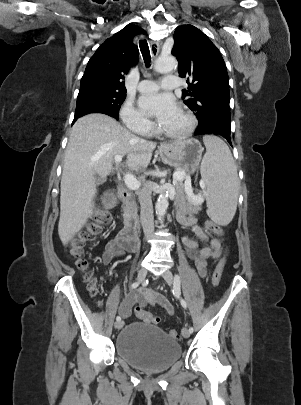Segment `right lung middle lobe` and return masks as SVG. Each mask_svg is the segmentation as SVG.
Masks as SVG:
<instances>
[{"label":"right lung middle lobe","instance_id":"right-lung-middle-lobe-1","mask_svg":"<svg viewBox=\"0 0 301 405\" xmlns=\"http://www.w3.org/2000/svg\"><path fill=\"white\" fill-rule=\"evenodd\" d=\"M126 93L85 92L78 94L74 122L86 114L103 113L118 119V111Z\"/></svg>","mask_w":301,"mask_h":405}]
</instances>
